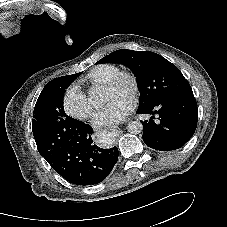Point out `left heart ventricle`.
<instances>
[{
  "label": "left heart ventricle",
  "instance_id": "b2bd125f",
  "mask_svg": "<svg viewBox=\"0 0 227 227\" xmlns=\"http://www.w3.org/2000/svg\"><path fill=\"white\" fill-rule=\"evenodd\" d=\"M104 97L106 102L117 98H130V90L127 83L123 82L115 88H104Z\"/></svg>",
  "mask_w": 227,
  "mask_h": 227
}]
</instances>
